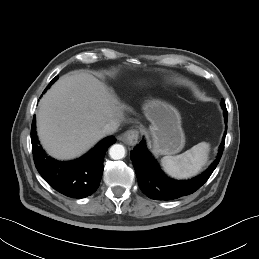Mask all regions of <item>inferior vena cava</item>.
<instances>
[{
    "label": "inferior vena cava",
    "instance_id": "obj_1",
    "mask_svg": "<svg viewBox=\"0 0 259 259\" xmlns=\"http://www.w3.org/2000/svg\"><path fill=\"white\" fill-rule=\"evenodd\" d=\"M119 126L120 123L118 121H111L103 127V132L105 134H112L117 131Z\"/></svg>",
    "mask_w": 259,
    "mask_h": 259
}]
</instances>
